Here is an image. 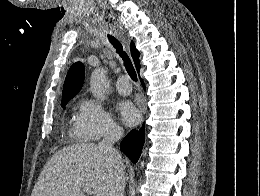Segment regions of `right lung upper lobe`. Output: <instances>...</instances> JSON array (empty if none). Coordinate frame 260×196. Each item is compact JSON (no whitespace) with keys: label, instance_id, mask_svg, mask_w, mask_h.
Here are the masks:
<instances>
[{"label":"right lung upper lobe","instance_id":"obj_1","mask_svg":"<svg viewBox=\"0 0 260 196\" xmlns=\"http://www.w3.org/2000/svg\"><path fill=\"white\" fill-rule=\"evenodd\" d=\"M131 55L136 69L139 71L140 53L136 50L134 43H131ZM84 72L85 68L81 62L74 63L69 69L63 86L62 107L80 91L84 82Z\"/></svg>","mask_w":260,"mask_h":196}]
</instances>
